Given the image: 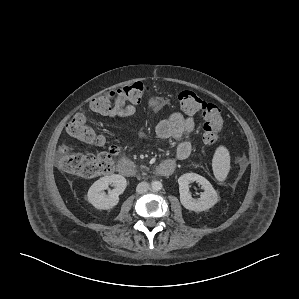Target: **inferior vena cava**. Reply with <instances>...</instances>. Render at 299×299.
<instances>
[{"mask_svg":"<svg viewBox=\"0 0 299 299\" xmlns=\"http://www.w3.org/2000/svg\"><path fill=\"white\" fill-rule=\"evenodd\" d=\"M150 188V185L143 181V182H140L137 187H136V192L139 193V194H143V193H146Z\"/></svg>","mask_w":299,"mask_h":299,"instance_id":"obj_1","label":"inferior vena cava"}]
</instances>
